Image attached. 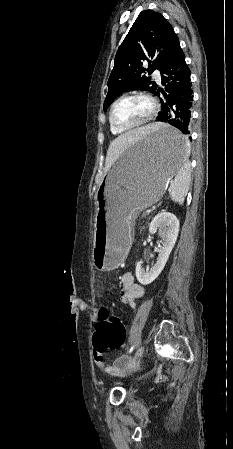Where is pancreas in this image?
I'll list each match as a JSON object with an SVG mask.
<instances>
[{
	"label": "pancreas",
	"instance_id": "obj_1",
	"mask_svg": "<svg viewBox=\"0 0 233 449\" xmlns=\"http://www.w3.org/2000/svg\"><path fill=\"white\" fill-rule=\"evenodd\" d=\"M146 215H147V213H143V215H142V216H143V217H146Z\"/></svg>",
	"mask_w": 233,
	"mask_h": 449
}]
</instances>
